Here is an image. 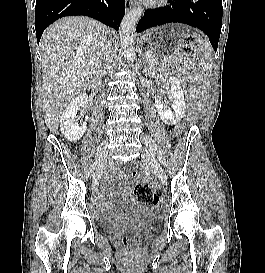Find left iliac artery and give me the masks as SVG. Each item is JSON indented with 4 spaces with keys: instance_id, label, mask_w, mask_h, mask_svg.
<instances>
[{
    "instance_id": "obj_1",
    "label": "left iliac artery",
    "mask_w": 265,
    "mask_h": 273,
    "mask_svg": "<svg viewBox=\"0 0 265 273\" xmlns=\"http://www.w3.org/2000/svg\"><path fill=\"white\" fill-rule=\"evenodd\" d=\"M144 140H145L146 146L149 147V150H150L152 153L155 152V153L157 154V157H158L159 161H161V159H162V154H161V152L158 150L157 146H154L153 141L148 140V139H144Z\"/></svg>"
}]
</instances>
